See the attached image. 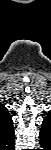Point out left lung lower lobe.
I'll list each match as a JSON object with an SVG mask.
<instances>
[{"label": "left lung lower lobe", "mask_w": 51, "mask_h": 150, "mask_svg": "<svg viewBox=\"0 0 51 150\" xmlns=\"http://www.w3.org/2000/svg\"><path fill=\"white\" fill-rule=\"evenodd\" d=\"M50 141V138L45 135L42 131L40 132V144L44 147Z\"/></svg>", "instance_id": "left-lung-lower-lobe-1"}]
</instances>
